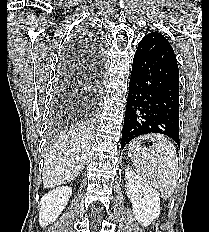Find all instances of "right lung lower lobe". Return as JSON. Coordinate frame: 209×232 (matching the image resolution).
<instances>
[{
  "label": "right lung lower lobe",
  "mask_w": 209,
  "mask_h": 232,
  "mask_svg": "<svg viewBox=\"0 0 209 232\" xmlns=\"http://www.w3.org/2000/svg\"><path fill=\"white\" fill-rule=\"evenodd\" d=\"M97 52L98 51H96V49H92L90 52L84 53V54L87 55L89 59H93V61H95L96 68L94 70V73H96L97 76H101L102 72H103V66H102L101 58L97 57V55L99 54ZM85 55H84V57H85Z\"/></svg>",
  "instance_id": "obj_1"
}]
</instances>
